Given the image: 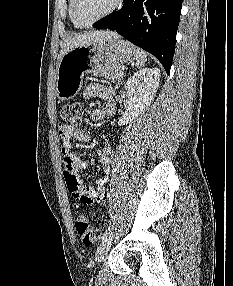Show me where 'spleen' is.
I'll list each match as a JSON object with an SVG mask.
<instances>
[{"instance_id": "1", "label": "spleen", "mask_w": 233, "mask_h": 286, "mask_svg": "<svg viewBox=\"0 0 233 286\" xmlns=\"http://www.w3.org/2000/svg\"><path fill=\"white\" fill-rule=\"evenodd\" d=\"M135 55H136V65L138 68H142L145 66V63L147 61V55L145 51L142 49L135 47Z\"/></svg>"}]
</instances>
